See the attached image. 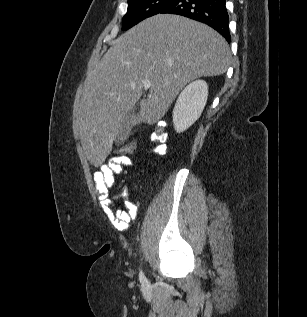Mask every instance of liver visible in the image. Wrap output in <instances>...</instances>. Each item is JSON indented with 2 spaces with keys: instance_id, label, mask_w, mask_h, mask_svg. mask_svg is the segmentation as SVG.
I'll return each instance as SVG.
<instances>
[{
  "instance_id": "obj_1",
  "label": "liver",
  "mask_w": 307,
  "mask_h": 317,
  "mask_svg": "<svg viewBox=\"0 0 307 317\" xmlns=\"http://www.w3.org/2000/svg\"><path fill=\"white\" fill-rule=\"evenodd\" d=\"M230 60V48L219 33L179 15L158 14L122 34L89 71L74 102L90 162L98 167L105 161L123 115L143 94L144 81L152 87L140 102L137 121L152 125L187 83L224 74Z\"/></svg>"
}]
</instances>
